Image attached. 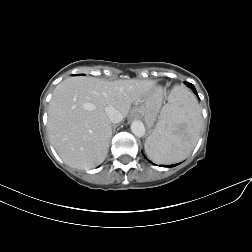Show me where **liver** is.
<instances>
[{"label":"liver","instance_id":"6515ba94","mask_svg":"<svg viewBox=\"0 0 252 252\" xmlns=\"http://www.w3.org/2000/svg\"><path fill=\"white\" fill-rule=\"evenodd\" d=\"M154 91L162 103L163 92L153 81L111 82L84 76L63 80L49 103L47 131L51 144L73 168L90 169L101 164L112 135L105 107H114L124 118L133 103L138 105Z\"/></svg>","mask_w":252,"mask_h":252}]
</instances>
